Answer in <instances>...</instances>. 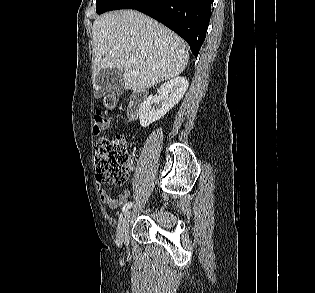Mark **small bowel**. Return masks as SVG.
<instances>
[{
    "label": "small bowel",
    "mask_w": 315,
    "mask_h": 293,
    "mask_svg": "<svg viewBox=\"0 0 315 293\" xmlns=\"http://www.w3.org/2000/svg\"><path fill=\"white\" fill-rule=\"evenodd\" d=\"M132 167V163H130V168ZM98 191L100 194L101 201L108 205L111 208H117L124 204L128 198L129 191H123L116 196H112L106 188L102 186L101 183H98Z\"/></svg>",
    "instance_id": "obj_1"
}]
</instances>
